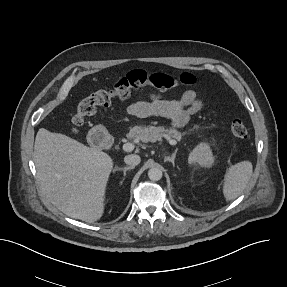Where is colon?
Returning <instances> with one entry per match:
<instances>
[{
	"label": "colon",
	"mask_w": 287,
	"mask_h": 287,
	"mask_svg": "<svg viewBox=\"0 0 287 287\" xmlns=\"http://www.w3.org/2000/svg\"><path fill=\"white\" fill-rule=\"evenodd\" d=\"M197 81L191 73L168 74V73H148L144 70H133L122 77L112 89L98 90L80 100L76 106L75 114L72 118L73 130L78 132L85 119L93 115L98 107H107L115 99L124 100L129 98L133 92L145 86H154L158 89L168 90L181 86H191ZM231 132L239 137L246 138L248 130L244 122L235 118L230 124Z\"/></svg>",
	"instance_id": "obj_1"
}]
</instances>
